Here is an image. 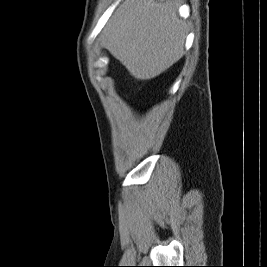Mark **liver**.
<instances>
[{
  "label": "liver",
  "instance_id": "6515ba94",
  "mask_svg": "<svg viewBox=\"0 0 267 267\" xmlns=\"http://www.w3.org/2000/svg\"><path fill=\"white\" fill-rule=\"evenodd\" d=\"M178 1L125 0L101 37L106 48L138 80L160 75L185 53L186 23Z\"/></svg>",
  "mask_w": 267,
  "mask_h": 267
}]
</instances>
